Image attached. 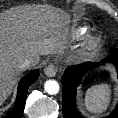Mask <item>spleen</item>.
I'll list each match as a JSON object with an SVG mask.
<instances>
[{
    "label": "spleen",
    "mask_w": 118,
    "mask_h": 118,
    "mask_svg": "<svg viewBox=\"0 0 118 118\" xmlns=\"http://www.w3.org/2000/svg\"><path fill=\"white\" fill-rule=\"evenodd\" d=\"M110 89L107 84L92 86L86 91L84 105L93 114H100L109 104Z\"/></svg>",
    "instance_id": "1"
}]
</instances>
